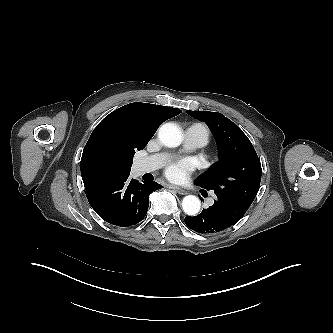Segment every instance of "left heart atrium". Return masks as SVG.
I'll return each mask as SVG.
<instances>
[{"label":"left heart atrium","instance_id":"obj_1","mask_svg":"<svg viewBox=\"0 0 333 333\" xmlns=\"http://www.w3.org/2000/svg\"><path fill=\"white\" fill-rule=\"evenodd\" d=\"M190 162L183 160L169 165L166 169V176L172 180L181 182L184 181L191 170Z\"/></svg>","mask_w":333,"mask_h":333}]
</instances>
